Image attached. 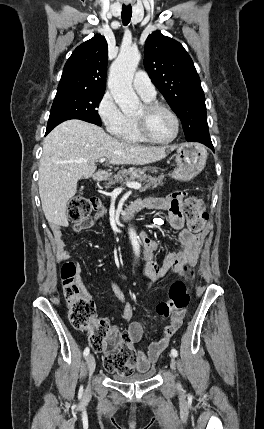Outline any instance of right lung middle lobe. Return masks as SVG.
Listing matches in <instances>:
<instances>
[{
    "mask_svg": "<svg viewBox=\"0 0 264 429\" xmlns=\"http://www.w3.org/2000/svg\"><path fill=\"white\" fill-rule=\"evenodd\" d=\"M103 95L104 92L84 90L57 91L50 111L46 134L61 122L69 119H80L100 126L101 119L96 108Z\"/></svg>",
    "mask_w": 264,
    "mask_h": 429,
    "instance_id": "1",
    "label": "right lung middle lobe"
}]
</instances>
